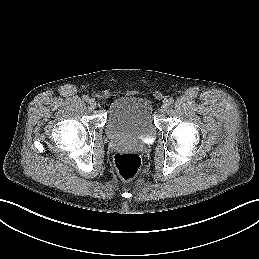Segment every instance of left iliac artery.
I'll use <instances>...</instances> for the list:
<instances>
[{"label": "left iliac artery", "mask_w": 259, "mask_h": 259, "mask_svg": "<svg viewBox=\"0 0 259 259\" xmlns=\"http://www.w3.org/2000/svg\"><path fill=\"white\" fill-rule=\"evenodd\" d=\"M167 102H168L169 105H172L174 103V99L173 98H169Z\"/></svg>", "instance_id": "1"}]
</instances>
